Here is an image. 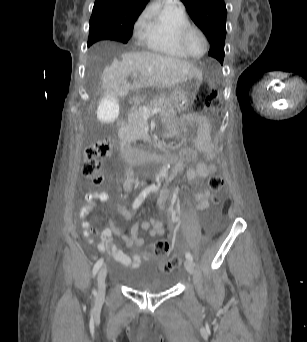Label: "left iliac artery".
Masks as SVG:
<instances>
[{
	"label": "left iliac artery",
	"instance_id": "1",
	"mask_svg": "<svg viewBox=\"0 0 307 342\" xmlns=\"http://www.w3.org/2000/svg\"><path fill=\"white\" fill-rule=\"evenodd\" d=\"M153 191L155 192V191H156V188H154ZM185 257H186L188 260L193 261V256L191 255V253L186 252V253H185Z\"/></svg>",
	"mask_w": 307,
	"mask_h": 342
}]
</instances>
